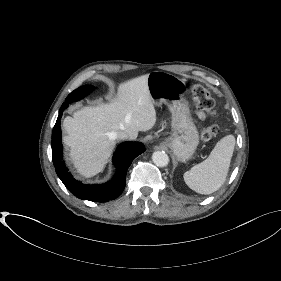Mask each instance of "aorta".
Segmentation results:
<instances>
[{"mask_svg": "<svg viewBox=\"0 0 281 281\" xmlns=\"http://www.w3.org/2000/svg\"><path fill=\"white\" fill-rule=\"evenodd\" d=\"M152 160L159 167H165L169 163V157L164 151H155L152 155Z\"/></svg>", "mask_w": 281, "mask_h": 281, "instance_id": "obj_1", "label": "aorta"}]
</instances>
